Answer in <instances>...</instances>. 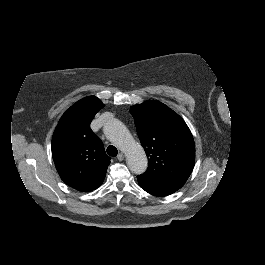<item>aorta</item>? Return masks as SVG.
Returning a JSON list of instances; mask_svg holds the SVG:
<instances>
[{
  "instance_id": "762f6f07",
  "label": "aorta",
  "mask_w": 265,
  "mask_h": 265,
  "mask_svg": "<svg viewBox=\"0 0 265 265\" xmlns=\"http://www.w3.org/2000/svg\"><path fill=\"white\" fill-rule=\"evenodd\" d=\"M103 133L110 142L123 149L126 163L132 173L142 175L146 172L148 161L144 149L138 145L126 126L117 118H112L103 126Z\"/></svg>"
}]
</instances>
